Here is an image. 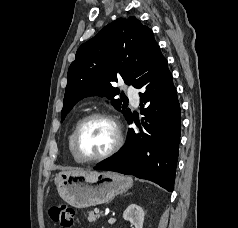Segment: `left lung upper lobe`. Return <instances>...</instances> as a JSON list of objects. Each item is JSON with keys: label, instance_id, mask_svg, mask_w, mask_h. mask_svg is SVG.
<instances>
[{"label": "left lung upper lobe", "instance_id": "left-lung-upper-lobe-1", "mask_svg": "<svg viewBox=\"0 0 238 228\" xmlns=\"http://www.w3.org/2000/svg\"><path fill=\"white\" fill-rule=\"evenodd\" d=\"M159 48L150 28L142 25L135 17L118 18L105 26L95 37L82 44L76 52V59L68 70L61 122L82 98L102 96L128 119L132 113L112 86L123 79L135 88L139 85L145 67Z\"/></svg>", "mask_w": 238, "mask_h": 228}]
</instances>
